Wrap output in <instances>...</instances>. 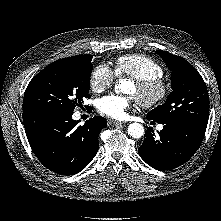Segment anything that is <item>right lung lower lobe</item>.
Here are the masks:
<instances>
[{
    "mask_svg": "<svg viewBox=\"0 0 221 221\" xmlns=\"http://www.w3.org/2000/svg\"><path fill=\"white\" fill-rule=\"evenodd\" d=\"M29 144L49 170L74 175L83 170L98 151V136L107 126L103 117L90 118L83 126L72 113L30 109L23 111Z\"/></svg>",
    "mask_w": 221,
    "mask_h": 221,
    "instance_id": "right-lung-lower-lobe-1",
    "label": "right lung lower lobe"
}]
</instances>
